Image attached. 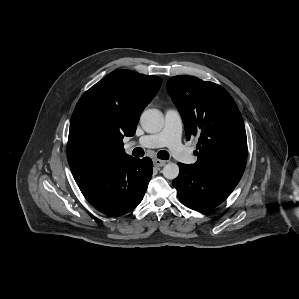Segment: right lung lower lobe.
<instances>
[{"instance_id": "obj_1", "label": "right lung lower lobe", "mask_w": 299, "mask_h": 299, "mask_svg": "<svg viewBox=\"0 0 299 299\" xmlns=\"http://www.w3.org/2000/svg\"><path fill=\"white\" fill-rule=\"evenodd\" d=\"M152 160L131 156L94 166L71 167L87 201L110 216L126 214L142 201L152 176Z\"/></svg>"}]
</instances>
